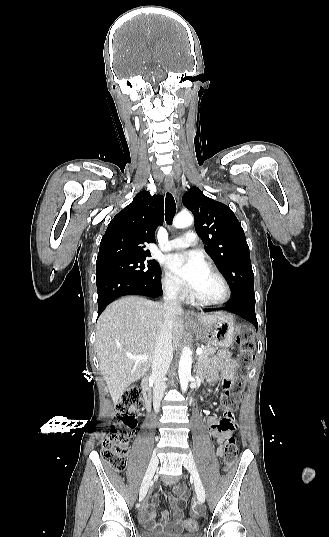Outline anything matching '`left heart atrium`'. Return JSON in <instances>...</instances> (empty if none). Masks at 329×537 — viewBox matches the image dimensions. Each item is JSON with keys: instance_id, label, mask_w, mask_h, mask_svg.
Segmentation results:
<instances>
[{"instance_id": "obj_1", "label": "left heart atrium", "mask_w": 329, "mask_h": 537, "mask_svg": "<svg viewBox=\"0 0 329 537\" xmlns=\"http://www.w3.org/2000/svg\"><path fill=\"white\" fill-rule=\"evenodd\" d=\"M165 264L191 292H194L207 269L203 256L197 251L170 255Z\"/></svg>"}]
</instances>
